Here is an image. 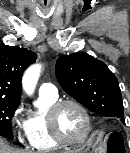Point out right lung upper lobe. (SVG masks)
Masks as SVG:
<instances>
[{
	"instance_id": "cb5924a9",
	"label": "right lung upper lobe",
	"mask_w": 130,
	"mask_h": 153,
	"mask_svg": "<svg viewBox=\"0 0 130 153\" xmlns=\"http://www.w3.org/2000/svg\"><path fill=\"white\" fill-rule=\"evenodd\" d=\"M35 60L32 51L0 44V99L19 102L22 74Z\"/></svg>"
}]
</instances>
